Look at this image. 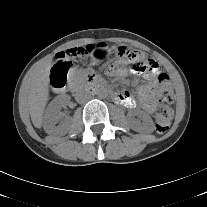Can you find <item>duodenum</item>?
I'll use <instances>...</instances> for the list:
<instances>
[{
    "label": "duodenum",
    "mask_w": 207,
    "mask_h": 207,
    "mask_svg": "<svg viewBox=\"0 0 207 207\" xmlns=\"http://www.w3.org/2000/svg\"><path fill=\"white\" fill-rule=\"evenodd\" d=\"M89 88L91 91H99L105 89V87L101 83H99L97 80H95L92 77L89 78Z\"/></svg>",
    "instance_id": "410a0bca"
}]
</instances>
